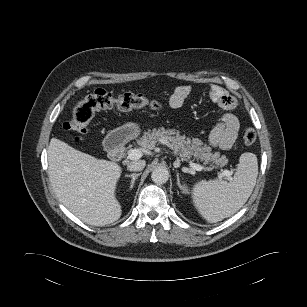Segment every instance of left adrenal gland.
<instances>
[{"instance_id": "1", "label": "left adrenal gland", "mask_w": 307, "mask_h": 307, "mask_svg": "<svg viewBox=\"0 0 307 307\" xmlns=\"http://www.w3.org/2000/svg\"><path fill=\"white\" fill-rule=\"evenodd\" d=\"M177 185L183 193L187 191L186 186L181 185V183H180L179 173H177Z\"/></svg>"}]
</instances>
